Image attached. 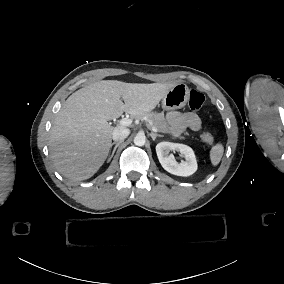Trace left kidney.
<instances>
[{
	"instance_id": "1",
	"label": "left kidney",
	"mask_w": 284,
	"mask_h": 284,
	"mask_svg": "<svg viewBox=\"0 0 284 284\" xmlns=\"http://www.w3.org/2000/svg\"><path fill=\"white\" fill-rule=\"evenodd\" d=\"M170 151H179L184 160L178 164L169 156ZM156 152L162 167L177 176H189L197 169L196 159L192 149L183 144L160 142L156 145Z\"/></svg>"
}]
</instances>
